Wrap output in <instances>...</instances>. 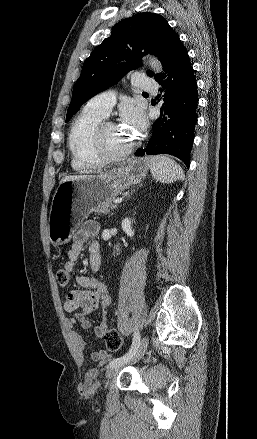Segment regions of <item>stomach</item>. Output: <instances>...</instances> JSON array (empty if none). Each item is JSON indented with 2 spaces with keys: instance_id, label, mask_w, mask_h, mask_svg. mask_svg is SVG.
Listing matches in <instances>:
<instances>
[{
  "instance_id": "obj_1",
  "label": "stomach",
  "mask_w": 257,
  "mask_h": 439,
  "mask_svg": "<svg viewBox=\"0 0 257 439\" xmlns=\"http://www.w3.org/2000/svg\"><path fill=\"white\" fill-rule=\"evenodd\" d=\"M150 168L148 158L88 178L59 184L51 204L48 232L54 245L69 241L80 222L101 202L112 200L124 189L141 181Z\"/></svg>"
}]
</instances>
